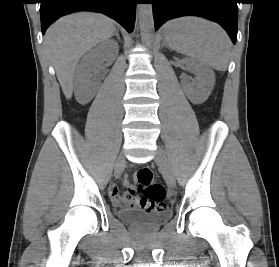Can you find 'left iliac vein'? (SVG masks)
<instances>
[{"mask_svg":"<svg viewBox=\"0 0 279 267\" xmlns=\"http://www.w3.org/2000/svg\"><path fill=\"white\" fill-rule=\"evenodd\" d=\"M156 163L160 166L169 187L175 186V175L165 152L158 148L155 156Z\"/></svg>","mask_w":279,"mask_h":267,"instance_id":"left-iliac-vein-1","label":"left iliac vein"}]
</instances>
